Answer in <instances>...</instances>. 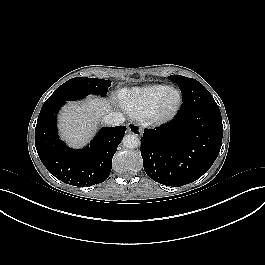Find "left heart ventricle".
I'll use <instances>...</instances> for the list:
<instances>
[{
    "label": "left heart ventricle",
    "mask_w": 265,
    "mask_h": 265,
    "mask_svg": "<svg viewBox=\"0 0 265 265\" xmlns=\"http://www.w3.org/2000/svg\"><path fill=\"white\" fill-rule=\"evenodd\" d=\"M177 100V95L175 93H171L169 96H168V99H167V102H166V106L167 107H171L175 104Z\"/></svg>",
    "instance_id": "obj_1"
}]
</instances>
